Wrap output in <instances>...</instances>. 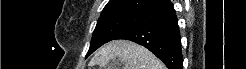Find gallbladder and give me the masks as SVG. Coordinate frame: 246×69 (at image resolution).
<instances>
[{
  "label": "gallbladder",
  "instance_id": "gallbladder-1",
  "mask_svg": "<svg viewBox=\"0 0 246 69\" xmlns=\"http://www.w3.org/2000/svg\"><path fill=\"white\" fill-rule=\"evenodd\" d=\"M105 69H122V67L118 64H108Z\"/></svg>",
  "mask_w": 246,
  "mask_h": 69
}]
</instances>
